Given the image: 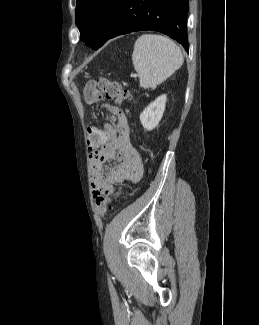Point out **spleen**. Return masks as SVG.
Here are the masks:
<instances>
[{
  "label": "spleen",
  "instance_id": "3e777b00",
  "mask_svg": "<svg viewBox=\"0 0 259 325\" xmlns=\"http://www.w3.org/2000/svg\"><path fill=\"white\" fill-rule=\"evenodd\" d=\"M134 69L142 88H154L178 70L183 62L181 49L168 37L143 34L134 44Z\"/></svg>",
  "mask_w": 259,
  "mask_h": 325
}]
</instances>
